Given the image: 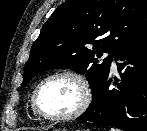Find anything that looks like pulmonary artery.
<instances>
[{
  "instance_id": "1",
  "label": "pulmonary artery",
  "mask_w": 147,
  "mask_h": 131,
  "mask_svg": "<svg viewBox=\"0 0 147 131\" xmlns=\"http://www.w3.org/2000/svg\"><path fill=\"white\" fill-rule=\"evenodd\" d=\"M111 68H112L113 71H116V69H117L116 60L114 58L112 60Z\"/></svg>"
}]
</instances>
